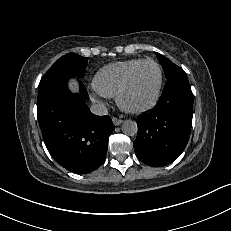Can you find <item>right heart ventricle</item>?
Returning a JSON list of instances; mask_svg holds the SVG:
<instances>
[{"label": "right heart ventricle", "instance_id": "right-heart-ventricle-1", "mask_svg": "<svg viewBox=\"0 0 231 231\" xmlns=\"http://www.w3.org/2000/svg\"><path fill=\"white\" fill-rule=\"evenodd\" d=\"M144 59L117 61L102 67L94 76V88L105 97L116 96L129 71Z\"/></svg>", "mask_w": 231, "mask_h": 231}]
</instances>
